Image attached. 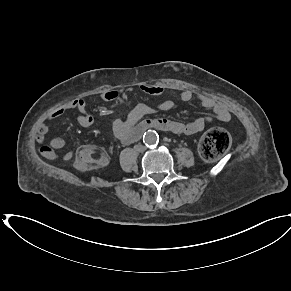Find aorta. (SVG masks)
Returning a JSON list of instances; mask_svg holds the SVG:
<instances>
[{
    "instance_id": "obj_1",
    "label": "aorta",
    "mask_w": 291,
    "mask_h": 291,
    "mask_svg": "<svg viewBox=\"0 0 291 291\" xmlns=\"http://www.w3.org/2000/svg\"><path fill=\"white\" fill-rule=\"evenodd\" d=\"M143 141L146 146H154L158 141V135L155 131L149 130L144 134Z\"/></svg>"
}]
</instances>
